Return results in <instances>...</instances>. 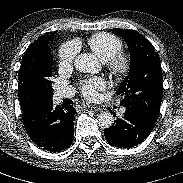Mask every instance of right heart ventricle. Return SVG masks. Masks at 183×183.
<instances>
[{"label":"right heart ventricle","mask_w":183,"mask_h":183,"mask_svg":"<svg viewBox=\"0 0 183 183\" xmlns=\"http://www.w3.org/2000/svg\"><path fill=\"white\" fill-rule=\"evenodd\" d=\"M87 45L102 61H107L123 47L120 38L106 32L91 35L87 39Z\"/></svg>","instance_id":"right-heart-ventricle-1"}]
</instances>
